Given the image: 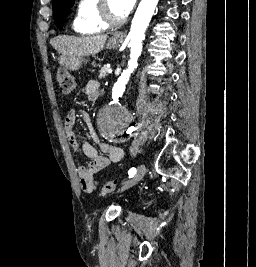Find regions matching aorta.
<instances>
[{"label": "aorta", "mask_w": 256, "mask_h": 267, "mask_svg": "<svg viewBox=\"0 0 256 267\" xmlns=\"http://www.w3.org/2000/svg\"><path fill=\"white\" fill-rule=\"evenodd\" d=\"M159 0H141L135 16L132 20L130 32L128 34L130 42V60L124 67L125 72L118 76L115 92L111 96L121 97L125 90L124 83L138 66V58L142 52V42L145 40V32L149 22L155 12ZM99 127H126V122H132V117H127L128 108H121V104H106V108H99ZM96 133H100V138H107V143H130V138H117V133H121V128H96Z\"/></svg>", "instance_id": "762f6f07"}]
</instances>
